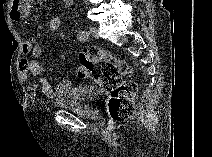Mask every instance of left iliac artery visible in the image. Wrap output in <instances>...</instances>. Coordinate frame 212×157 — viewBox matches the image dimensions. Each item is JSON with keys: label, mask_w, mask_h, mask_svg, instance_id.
I'll return each instance as SVG.
<instances>
[{"label": "left iliac artery", "mask_w": 212, "mask_h": 157, "mask_svg": "<svg viewBox=\"0 0 212 157\" xmlns=\"http://www.w3.org/2000/svg\"><path fill=\"white\" fill-rule=\"evenodd\" d=\"M88 38V32L87 31H81L78 34V39L80 41H85Z\"/></svg>", "instance_id": "obj_1"}]
</instances>
